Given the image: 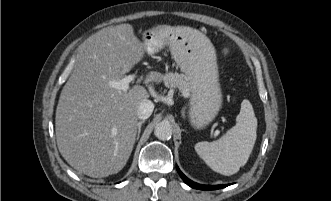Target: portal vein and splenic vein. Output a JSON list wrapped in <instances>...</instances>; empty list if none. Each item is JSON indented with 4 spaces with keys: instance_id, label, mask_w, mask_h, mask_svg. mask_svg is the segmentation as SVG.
<instances>
[{
    "instance_id": "portal-vein-and-splenic-vein-1",
    "label": "portal vein and splenic vein",
    "mask_w": 331,
    "mask_h": 201,
    "mask_svg": "<svg viewBox=\"0 0 331 201\" xmlns=\"http://www.w3.org/2000/svg\"><path fill=\"white\" fill-rule=\"evenodd\" d=\"M135 77V74H131L122 79L110 81L109 85L115 89L127 91L129 89V83L132 82Z\"/></svg>"
}]
</instances>
